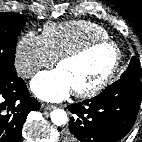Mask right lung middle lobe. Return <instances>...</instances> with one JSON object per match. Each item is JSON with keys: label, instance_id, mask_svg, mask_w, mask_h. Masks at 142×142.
Wrapping results in <instances>:
<instances>
[{"label": "right lung middle lobe", "instance_id": "dd1d6c3e", "mask_svg": "<svg viewBox=\"0 0 142 142\" xmlns=\"http://www.w3.org/2000/svg\"><path fill=\"white\" fill-rule=\"evenodd\" d=\"M25 23L24 15L0 12V79L17 76L14 66L16 43Z\"/></svg>", "mask_w": 142, "mask_h": 142}]
</instances>
